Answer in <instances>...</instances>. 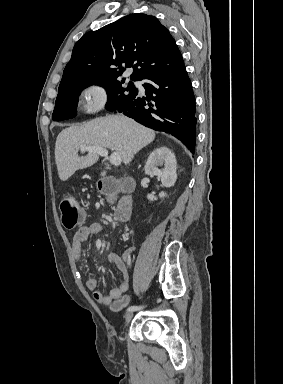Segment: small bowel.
Returning a JSON list of instances; mask_svg holds the SVG:
<instances>
[{
    "mask_svg": "<svg viewBox=\"0 0 283 384\" xmlns=\"http://www.w3.org/2000/svg\"><path fill=\"white\" fill-rule=\"evenodd\" d=\"M102 230L103 226L100 223L93 222L82 226L74 234L72 239V251L78 262L82 259V243L91 235L101 233ZM107 259L108 262L114 265L122 274V280L119 285L111 289L108 294H103L98 289V282L95 278L91 277L86 280V287L91 291L94 300L103 305H110L112 302L119 299L128 290L130 284L127 262L116 253H109Z\"/></svg>",
    "mask_w": 283,
    "mask_h": 384,
    "instance_id": "1",
    "label": "small bowel"
}]
</instances>
